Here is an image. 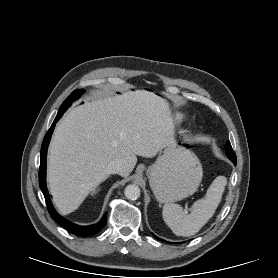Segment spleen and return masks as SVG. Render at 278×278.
I'll return each instance as SVG.
<instances>
[{
    "label": "spleen",
    "mask_w": 278,
    "mask_h": 278,
    "mask_svg": "<svg viewBox=\"0 0 278 278\" xmlns=\"http://www.w3.org/2000/svg\"><path fill=\"white\" fill-rule=\"evenodd\" d=\"M226 184V177H216L206 196L194 202L189 214L183 212L178 204H165L162 213L165 223L177 236L188 237L196 234L215 213Z\"/></svg>",
    "instance_id": "obj_1"
}]
</instances>
